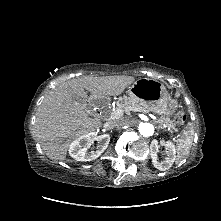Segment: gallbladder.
<instances>
[{
  "mask_svg": "<svg viewBox=\"0 0 221 221\" xmlns=\"http://www.w3.org/2000/svg\"><path fill=\"white\" fill-rule=\"evenodd\" d=\"M71 100L72 101H75V102H78V103H84L86 102L85 99L81 98V97H78L76 95H71Z\"/></svg>",
  "mask_w": 221,
  "mask_h": 221,
  "instance_id": "1",
  "label": "gallbladder"
}]
</instances>
